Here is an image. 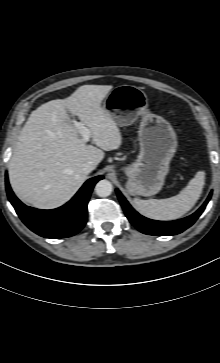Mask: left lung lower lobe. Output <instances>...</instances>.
<instances>
[{
    "instance_id": "1",
    "label": "left lung lower lobe",
    "mask_w": 220,
    "mask_h": 363,
    "mask_svg": "<svg viewBox=\"0 0 220 363\" xmlns=\"http://www.w3.org/2000/svg\"><path fill=\"white\" fill-rule=\"evenodd\" d=\"M116 192L129 221L140 232L155 236L175 235L189 228L202 214L212 195L210 193L204 204L194 214L180 220L163 222L150 220L141 216L131 207L119 190H116Z\"/></svg>"
}]
</instances>
